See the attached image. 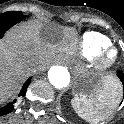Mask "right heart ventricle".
Returning a JSON list of instances; mask_svg holds the SVG:
<instances>
[{
  "mask_svg": "<svg viewBox=\"0 0 124 124\" xmlns=\"http://www.w3.org/2000/svg\"><path fill=\"white\" fill-rule=\"evenodd\" d=\"M110 44L111 40L105 34L88 31L79 37L74 47L81 58L93 60L104 47Z\"/></svg>",
  "mask_w": 124,
  "mask_h": 124,
  "instance_id": "e07e8e85",
  "label": "right heart ventricle"
}]
</instances>
